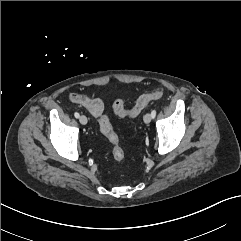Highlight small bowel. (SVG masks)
Instances as JSON below:
<instances>
[{
	"label": "small bowel",
	"instance_id": "obj_1",
	"mask_svg": "<svg viewBox=\"0 0 241 241\" xmlns=\"http://www.w3.org/2000/svg\"><path fill=\"white\" fill-rule=\"evenodd\" d=\"M71 102L87 109L94 117H99L104 110V104L99 98H91L83 94L73 93Z\"/></svg>",
	"mask_w": 241,
	"mask_h": 241
}]
</instances>
